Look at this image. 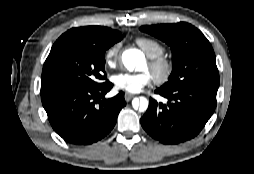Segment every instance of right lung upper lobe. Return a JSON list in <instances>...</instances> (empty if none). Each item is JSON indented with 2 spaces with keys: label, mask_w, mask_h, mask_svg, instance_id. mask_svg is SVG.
Listing matches in <instances>:
<instances>
[{
  "label": "right lung upper lobe",
  "mask_w": 254,
  "mask_h": 174,
  "mask_svg": "<svg viewBox=\"0 0 254 174\" xmlns=\"http://www.w3.org/2000/svg\"><path fill=\"white\" fill-rule=\"evenodd\" d=\"M121 35L119 31L112 30L107 27L87 26L72 28L62 36H73L84 39L93 44L101 45Z\"/></svg>",
  "instance_id": "cb5924a9"
}]
</instances>
